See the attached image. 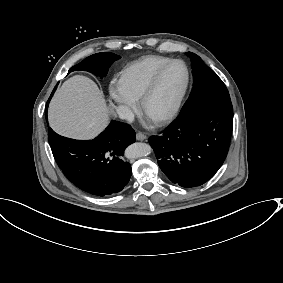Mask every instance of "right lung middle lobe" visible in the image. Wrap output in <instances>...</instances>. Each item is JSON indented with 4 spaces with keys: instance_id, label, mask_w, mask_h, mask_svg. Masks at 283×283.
Returning a JSON list of instances; mask_svg holds the SVG:
<instances>
[{
    "instance_id": "1",
    "label": "right lung middle lobe",
    "mask_w": 283,
    "mask_h": 283,
    "mask_svg": "<svg viewBox=\"0 0 283 283\" xmlns=\"http://www.w3.org/2000/svg\"><path fill=\"white\" fill-rule=\"evenodd\" d=\"M119 58L120 56L110 52L97 53L87 57L79 64L71 67L68 73L75 70H83L89 71L103 78L107 75L108 69L111 64Z\"/></svg>"
}]
</instances>
